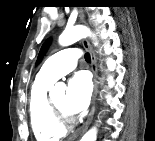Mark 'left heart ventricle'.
<instances>
[{
    "instance_id": "1",
    "label": "left heart ventricle",
    "mask_w": 155,
    "mask_h": 141,
    "mask_svg": "<svg viewBox=\"0 0 155 141\" xmlns=\"http://www.w3.org/2000/svg\"><path fill=\"white\" fill-rule=\"evenodd\" d=\"M52 100L56 107L64 113H68L65 108V94L59 93L52 97Z\"/></svg>"
}]
</instances>
